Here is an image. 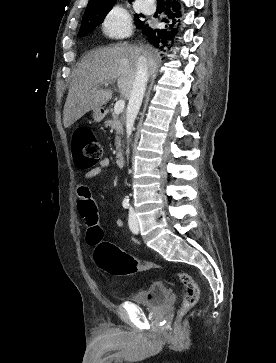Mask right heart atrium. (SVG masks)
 I'll return each instance as SVG.
<instances>
[{"label": "right heart atrium", "mask_w": 276, "mask_h": 363, "mask_svg": "<svg viewBox=\"0 0 276 363\" xmlns=\"http://www.w3.org/2000/svg\"><path fill=\"white\" fill-rule=\"evenodd\" d=\"M104 32L113 37L126 35L130 30V19L127 12L121 7H114L103 22Z\"/></svg>", "instance_id": "d8ad5b80"}]
</instances>
